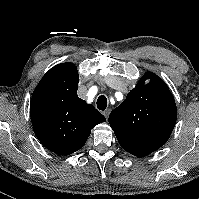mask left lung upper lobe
Returning <instances> with one entry per match:
<instances>
[{
  "instance_id": "1",
  "label": "left lung upper lobe",
  "mask_w": 199,
  "mask_h": 199,
  "mask_svg": "<svg viewBox=\"0 0 199 199\" xmlns=\"http://www.w3.org/2000/svg\"><path fill=\"white\" fill-rule=\"evenodd\" d=\"M146 79H150L144 84ZM177 120L174 97L167 84L156 74L147 72L117 108L109 115L114 130L165 144Z\"/></svg>"
}]
</instances>
